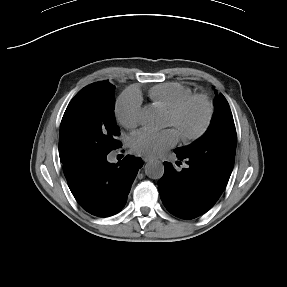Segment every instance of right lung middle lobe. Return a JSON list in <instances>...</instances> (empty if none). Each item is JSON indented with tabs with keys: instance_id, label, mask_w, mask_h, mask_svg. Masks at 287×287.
<instances>
[{
	"instance_id": "dd1d6c3e",
	"label": "right lung middle lobe",
	"mask_w": 287,
	"mask_h": 287,
	"mask_svg": "<svg viewBox=\"0 0 287 287\" xmlns=\"http://www.w3.org/2000/svg\"><path fill=\"white\" fill-rule=\"evenodd\" d=\"M115 86L108 80L81 89L69 103L60 126L59 156L67 175L89 159L122 146L114 117Z\"/></svg>"
}]
</instances>
